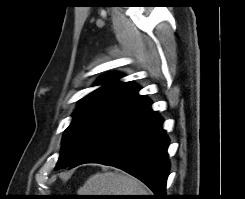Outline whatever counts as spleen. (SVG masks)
<instances>
[{
	"label": "spleen",
	"mask_w": 245,
	"mask_h": 199,
	"mask_svg": "<svg viewBox=\"0 0 245 199\" xmlns=\"http://www.w3.org/2000/svg\"><path fill=\"white\" fill-rule=\"evenodd\" d=\"M78 193V195H149L140 181L118 172L92 175Z\"/></svg>",
	"instance_id": "3e777b00"
}]
</instances>
